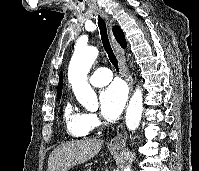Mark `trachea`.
Returning a JSON list of instances; mask_svg holds the SVG:
<instances>
[{"instance_id":"1","label":"trachea","mask_w":199,"mask_h":171,"mask_svg":"<svg viewBox=\"0 0 199 171\" xmlns=\"http://www.w3.org/2000/svg\"><path fill=\"white\" fill-rule=\"evenodd\" d=\"M98 26H99V29H100L103 47H104V49H105V51L108 55V58H109L110 62L113 64V66L115 67V69L117 71H119L118 60L116 58V55L114 54V51L111 47V44H110V41H109V38H108L106 23L100 17L98 18Z\"/></svg>"}]
</instances>
